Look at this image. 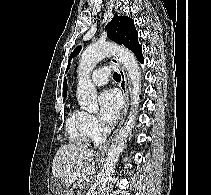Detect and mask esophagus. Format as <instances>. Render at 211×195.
Returning a JSON list of instances; mask_svg holds the SVG:
<instances>
[{
  "instance_id": "obj_1",
  "label": "esophagus",
  "mask_w": 211,
  "mask_h": 195,
  "mask_svg": "<svg viewBox=\"0 0 211 195\" xmlns=\"http://www.w3.org/2000/svg\"><path fill=\"white\" fill-rule=\"evenodd\" d=\"M111 62L117 67L119 74L121 76V81H120L119 86L123 93L124 105L122 108L120 121H119V124H118L116 130L114 131L113 135L99 147V149L96 152L97 157L105 156V154L108 150V147L113 139V136L118 132L119 128L123 125V123L125 121L126 114H127L128 107H129L128 85H127V77H126L125 70L116 58L112 57Z\"/></svg>"
}]
</instances>
